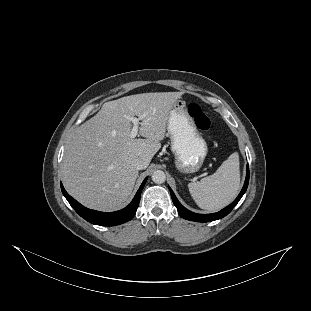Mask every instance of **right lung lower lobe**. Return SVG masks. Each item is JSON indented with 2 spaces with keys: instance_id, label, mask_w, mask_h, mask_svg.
Returning <instances> with one entry per match:
<instances>
[{
  "instance_id": "98d812e1",
  "label": "right lung lower lobe",
  "mask_w": 311,
  "mask_h": 311,
  "mask_svg": "<svg viewBox=\"0 0 311 311\" xmlns=\"http://www.w3.org/2000/svg\"><path fill=\"white\" fill-rule=\"evenodd\" d=\"M146 180L147 178H145L139 190L137 191L134 199L126 208L116 211V212H109V213H103V212L91 210V209H88L82 206L80 203L74 200L65 191L62 183L60 185H61V190H62L63 195L68 200V202L73 207V209L81 217H83L85 220H87L88 222L92 224L101 225V226H114V225L125 223L134 217L136 210L139 206L140 195H141V192L145 185Z\"/></svg>"
}]
</instances>
